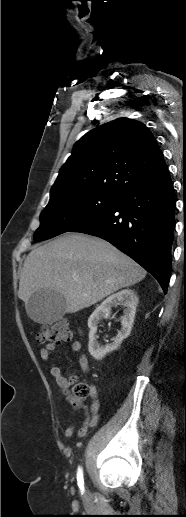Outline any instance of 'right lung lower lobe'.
I'll list each match as a JSON object with an SVG mask.
<instances>
[{"label": "right lung lower lobe", "mask_w": 186, "mask_h": 517, "mask_svg": "<svg viewBox=\"0 0 186 517\" xmlns=\"http://www.w3.org/2000/svg\"><path fill=\"white\" fill-rule=\"evenodd\" d=\"M169 172L120 195L106 211L69 232L100 237L134 259L167 292L175 229V197Z\"/></svg>", "instance_id": "1"}]
</instances>
